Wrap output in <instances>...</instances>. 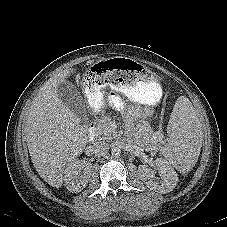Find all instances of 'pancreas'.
Segmentation results:
<instances>
[{
	"label": "pancreas",
	"instance_id": "pancreas-1",
	"mask_svg": "<svg viewBox=\"0 0 227 227\" xmlns=\"http://www.w3.org/2000/svg\"><path fill=\"white\" fill-rule=\"evenodd\" d=\"M111 123L112 122L109 117L102 118L96 127V136L103 140L113 139L116 136V131L111 127ZM147 149L151 148L147 147Z\"/></svg>",
	"mask_w": 227,
	"mask_h": 227
}]
</instances>
